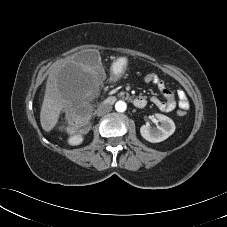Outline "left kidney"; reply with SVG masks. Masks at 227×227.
Listing matches in <instances>:
<instances>
[{"label": "left kidney", "instance_id": "obj_1", "mask_svg": "<svg viewBox=\"0 0 227 227\" xmlns=\"http://www.w3.org/2000/svg\"><path fill=\"white\" fill-rule=\"evenodd\" d=\"M155 117L161 123L159 126L151 128L149 125H143L140 128L141 136L151 143L164 141L175 131V124L171 118L162 114H155Z\"/></svg>", "mask_w": 227, "mask_h": 227}]
</instances>
